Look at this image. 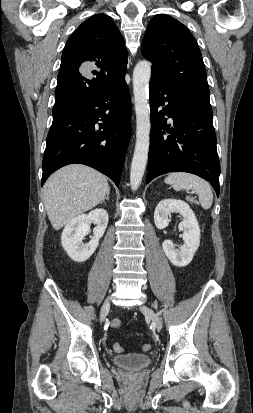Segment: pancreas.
Returning a JSON list of instances; mask_svg holds the SVG:
<instances>
[{
    "label": "pancreas",
    "mask_w": 253,
    "mask_h": 413,
    "mask_svg": "<svg viewBox=\"0 0 253 413\" xmlns=\"http://www.w3.org/2000/svg\"><path fill=\"white\" fill-rule=\"evenodd\" d=\"M187 199L189 202L197 204V201L194 198L188 197Z\"/></svg>",
    "instance_id": "obj_1"
}]
</instances>
